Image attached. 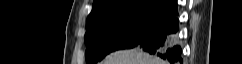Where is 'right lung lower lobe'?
I'll return each mask as SVG.
<instances>
[{
    "label": "right lung lower lobe",
    "mask_w": 242,
    "mask_h": 64,
    "mask_svg": "<svg viewBox=\"0 0 242 64\" xmlns=\"http://www.w3.org/2000/svg\"><path fill=\"white\" fill-rule=\"evenodd\" d=\"M179 19L177 4L166 12L158 25L137 47L149 54L159 56L170 64H182V49L178 43Z\"/></svg>",
    "instance_id": "obj_1"
}]
</instances>
